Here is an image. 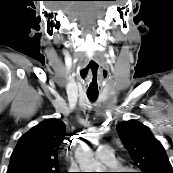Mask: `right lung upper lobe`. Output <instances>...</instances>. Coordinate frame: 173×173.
<instances>
[{"instance_id":"obj_1","label":"right lung upper lobe","mask_w":173,"mask_h":173,"mask_svg":"<svg viewBox=\"0 0 173 173\" xmlns=\"http://www.w3.org/2000/svg\"><path fill=\"white\" fill-rule=\"evenodd\" d=\"M65 124L46 119L22 135L13 150L7 173L20 171H59L58 153L68 139Z\"/></svg>"}]
</instances>
